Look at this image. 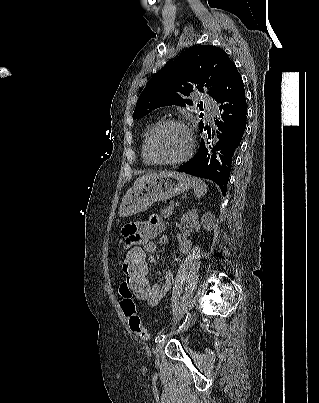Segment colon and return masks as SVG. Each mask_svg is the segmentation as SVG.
Wrapping results in <instances>:
<instances>
[{"label": "colon", "mask_w": 319, "mask_h": 403, "mask_svg": "<svg viewBox=\"0 0 319 403\" xmlns=\"http://www.w3.org/2000/svg\"><path fill=\"white\" fill-rule=\"evenodd\" d=\"M141 243L135 242L133 246L121 250L122 268L118 304L122 317H126V323L130 336H136L140 340L148 338L144 323L136 308L133 297L128 296L130 290L135 291V300H149L153 293V278L144 257ZM140 306V303H137Z\"/></svg>", "instance_id": "obj_1"}]
</instances>
